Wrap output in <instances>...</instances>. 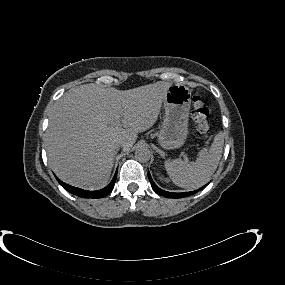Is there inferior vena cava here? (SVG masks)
<instances>
[{
	"label": "inferior vena cava",
	"mask_w": 285,
	"mask_h": 285,
	"mask_svg": "<svg viewBox=\"0 0 285 285\" xmlns=\"http://www.w3.org/2000/svg\"><path fill=\"white\" fill-rule=\"evenodd\" d=\"M124 146V142L123 141H117L115 144V148H120Z\"/></svg>",
	"instance_id": "1"
}]
</instances>
